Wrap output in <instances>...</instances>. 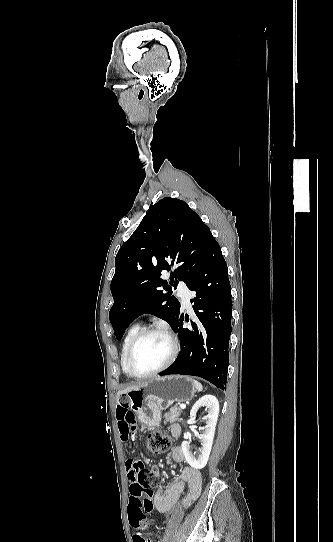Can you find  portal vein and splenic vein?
I'll return each mask as SVG.
<instances>
[{
  "mask_svg": "<svg viewBox=\"0 0 333 542\" xmlns=\"http://www.w3.org/2000/svg\"><path fill=\"white\" fill-rule=\"evenodd\" d=\"M185 408H186L185 404H182L181 410H185Z\"/></svg>",
  "mask_w": 333,
  "mask_h": 542,
  "instance_id": "1",
  "label": "portal vein and splenic vein"
}]
</instances>
